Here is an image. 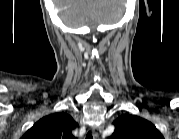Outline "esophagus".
Wrapping results in <instances>:
<instances>
[{"mask_svg": "<svg viewBox=\"0 0 179 139\" xmlns=\"http://www.w3.org/2000/svg\"><path fill=\"white\" fill-rule=\"evenodd\" d=\"M103 131V127L102 126H94L92 128V134L94 138H99L100 134Z\"/></svg>", "mask_w": 179, "mask_h": 139, "instance_id": "1", "label": "esophagus"}]
</instances>
